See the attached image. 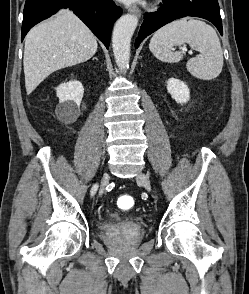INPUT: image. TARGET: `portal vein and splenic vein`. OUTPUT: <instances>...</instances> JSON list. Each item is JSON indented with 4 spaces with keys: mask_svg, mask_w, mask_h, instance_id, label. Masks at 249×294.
<instances>
[{
    "mask_svg": "<svg viewBox=\"0 0 249 294\" xmlns=\"http://www.w3.org/2000/svg\"><path fill=\"white\" fill-rule=\"evenodd\" d=\"M188 53H189L190 55H192V54H193V52H192V51H189Z\"/></svg>",
    "mask_w": 249,
    "mask_h": 294,
    "instance_id": "18ae733b",
    "label": "portal vein and splenic vein"
}]
</instances>
